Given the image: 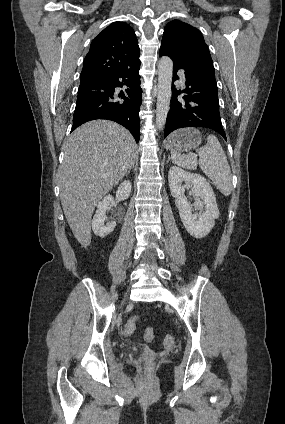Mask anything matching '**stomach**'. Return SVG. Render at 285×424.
Wrapping results in <instances>:
<instances>
[{"instance_id":"0dacf381","label":"stomach","mask_w":285,"mask_h":424,"mask_svg":"<svg viewBox=\"0 0 285 424\" xmlns=\"http://www.w3.org/2000/svg\"><path fill=\"white\" fill-rule=\"evenodd\" d=\"M201 133L194 128H186L172 133L167 141L166 148L175 151H189L201 144Z\"/></svg>"}]
</instances>
